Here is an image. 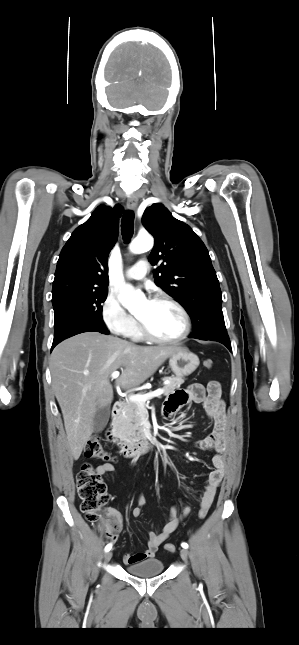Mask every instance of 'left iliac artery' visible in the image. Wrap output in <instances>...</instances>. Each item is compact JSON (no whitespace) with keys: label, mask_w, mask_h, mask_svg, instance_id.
<instances>
[{"label":"left iliac artery","mask_w":299,"mask_h":645,"mask_svg":"<svg viewBox=\"0 0 299 645\" xmlns=\"http://www.w3.org/2000/svg\"><path fill=\"white\" fill-rule=\"evenodd\" d=\"M181 546H182L184 549H187V548H188V544H187V543H185V542H183V543L181 544Z\"/></svg>","instance_id":"left-iliac-artery-1"}]
</instances>
